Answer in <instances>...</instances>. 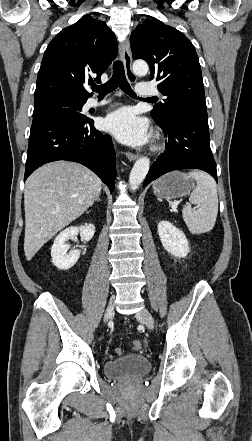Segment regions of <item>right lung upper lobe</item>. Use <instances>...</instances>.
Returning a JSON list of instances; mask_svg holds the SVG:
<instances>
[{"instance_id": "1", "label": "right lung upper lobe", "mask_w": 252, "mask_h": 441, "mask_svg": "<svg viewBox=\"0 0 252 441\" xmlns=\"http://www.w3.org/2000/svg\"><path fill=\"white\" fill-rule=\"evenodd\" d=\"M117 41L105 22L84 15L49 43L38 72L34 103L57 98L87 100L85 84L100 81L117 55Z\"/></svg>"}]
</instances>
